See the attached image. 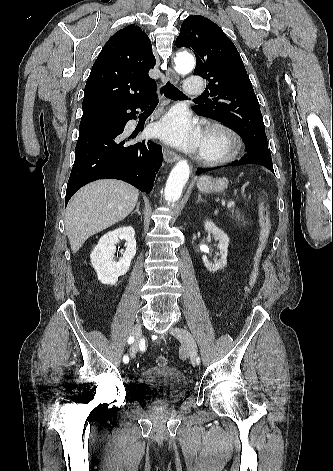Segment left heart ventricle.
Returning <instances> with one entry per match:
<instances>
[{"label":"left heart ventricle","instance_id":"b2bd125f","mask_svg":"<svg viewBox=\"0 0 333 471\" xmlns=\"http://www.w3.org/2000/svg\"><path fill=\"white\" fill-rule=\"evenodd\" d=\"M224 147L223 141L218 137H203L201 148L206 150L209 153L220 152Z\"/></svg>","mask_w":333,"mask_h":471}]
</instances>
